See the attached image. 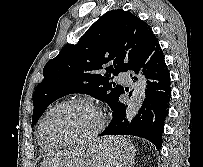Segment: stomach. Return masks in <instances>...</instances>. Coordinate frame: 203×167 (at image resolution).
<instances>
[{
    "mask_svg": "<svg viewBox=\"0 0 203 167\" xmlns=\"http://www.w3.org/2000/svg\"><path fill=\"white\" fill-rule=\"evenodd\" d=\"M117 148L112 142H97L96 146L84 155L80 162L73 167H114Z\"/></svg>",
    "mask_w": 203,
    "mask_h": 167,
    "instance_id": "stomach-1",
    "label": "stomach"
}]
</instances>
